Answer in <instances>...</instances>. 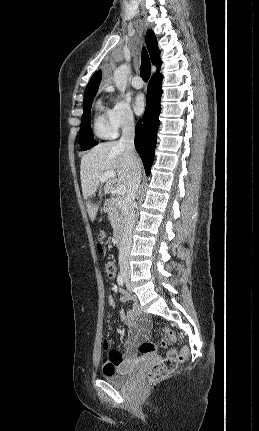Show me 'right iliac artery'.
I'll return each instance as SVG.
<instances>
[{
	"mask_svg": "<svg viewBox=\"0 0 259 431\" xmlns=\"http://www.w3.org/2000/svg\"><path fill=\"white\" fill-rule=\"evenodd\" d=\"M117 282L120 286L124 285L123 275L121 273L117 277Z\"/></svg>",
	"mask_w": 259,
	"mask_h": 431,
	"instance_id": "1",
	"label": "right iliac artery"
}]
</instances>
